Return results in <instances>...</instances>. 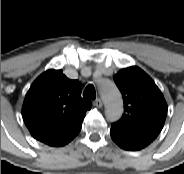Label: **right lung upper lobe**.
I'll return each mask as SVG.
<instances>
[{
    "label": "right lung upper lobe",
    "mask_w": 184,
    "mask_h": 174,
    "mask_svg": "<svg viewBox=\"0 0 184 174\" xmlns=\"http://www.w3.org/2000/svg\"><path fill=\"white\" fill-rule=\"evenodd\" d=\"M82 86L62 70L50 69L31 85L22 107L31 135L53 147L69 143L80 132L91 102L81 97Z\"/></svg>",
    "instance_id": "right-lung-upper-lobe-1"
}]
</instances>
